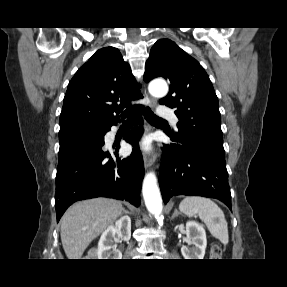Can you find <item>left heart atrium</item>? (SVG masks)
Masks as SVG:
<instances>
[{
    "instance_id": "left-heart-atrium-1",
    "label": "left heart atrium",
    "mask_w": 287,
    "mask_h": 287,
    "mask_svg": "<svg viewBox=\"0 0 287 287\" xmlns=\"http://www.w3.org/2000/svg\"><path fill=\"white\" fill-rule=\"evenodd\" d=\"M142 148L147 149L149 147V141L143 140L141 143Z\"/></svg>"
}]
</instances>
